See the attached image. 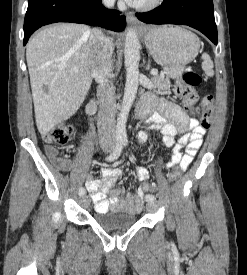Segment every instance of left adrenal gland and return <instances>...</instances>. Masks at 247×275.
Masks as SVG:
<instances>
[{
  "instance_id": "a2214340",
  "label": "left adrenal gland",
  "mask_w": 247,
  "mask_h": 275,
  "mask_svg": "<svg viewBox=\"0 0 247 275\" xmlns=\"http://www.w3.org/2000/svg\"><path fill=\"white\" fill-rule=\"evenodd\" d=\"M149 68H150V61L148 62L147 70H149Z\"/></svg>"
}]
</instances>
